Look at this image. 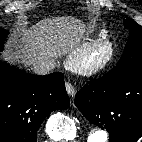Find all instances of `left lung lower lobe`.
Here are the masks:
<instances>
[{
  "instance_id": "0a47b994",
  "label": "left lung lower lobe",
  "mask_w": 142,
  "mask_h": 142,
  "mask_svg": "<svg viewBox=\"0 0 142 142\" xmlns=\"http://www.w3.org/2000/svg\"><path fill=\"white\" fill-rule=\"evenodd\" d=\"M74 102L90 122L108 130L109 142L142 136V69L109 71L87 82Z\"/></svg>"
}]
</instances>
